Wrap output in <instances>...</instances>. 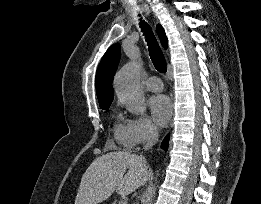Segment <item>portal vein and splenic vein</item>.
Segmentation results:
<instances>
[{
	"instance_id": "portal-vein-and-splenic-vein-1",
	"label": "portal vein and splenic vein",
	"mask_w": 261,
	"mask_h": 204,
	"mask_svg": "<svg viewBox=\"0 0 261 204\" xmlns=\"http://www.w3.org/2000/svg\"><path fill=\"white\" fill-rule=\"evenodd\" d=\"M119 204H127L126 201H120Z\"/></svg>"
}]
</instances>
